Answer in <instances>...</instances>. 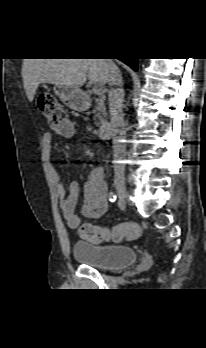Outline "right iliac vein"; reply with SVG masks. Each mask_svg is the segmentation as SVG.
<instances>
[{
    "mask_svg": "<svg viewBox=\"0 0 206 348\" xmlns=\"http://www.w3.org/2000/svg\"><path fill=\"white\" fill-rule=\"evenodd\" d=\"M115 188L117 191V194L120 196V198L125 199L128 196L125 180L123 177L118 176L115 178Z\"/></svg>",
    "mask_w": 206,
    "mask_h": 348,
    "instance_id": "63e3f726",
    "label": "right iliac vein"
}]
</instances>
